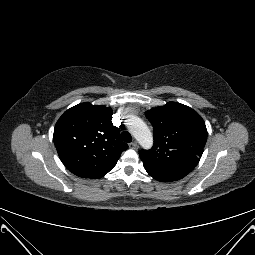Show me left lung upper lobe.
Segmentation results:
<instances>
[{
	"instance_id": "1",
	"label": "left lung upper lobe",
	"mask_w": 255,
	"mask_h": 255,
	"mask_svg": "<svg viewBox=\"0 0 255 255\" xmlns=\"http://www.w3.org/2000/svg\"><path fill=\"white\" fill-rule=\"evenodd\" d=\"M154 145L139 155L150 176L161 182L185 177L198 164L207 141L203 119L192 108L169 102L146 112Z\"/></svg>"
}]
</instances>
